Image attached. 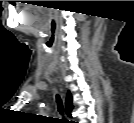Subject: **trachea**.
<instances>
[{
	"label": "trachea",
	"instance_id": "obj_1",
	"mask_svg": "<svg viewBox=\"0 0 134 123\" xmlns=\"http://www.w3.org/2000/svg\"><path fill=\"white\" fill-rule=\"evenodd\" d=\"M56 101H57L58 111L60 112V114H63L62 101H61V99H60V97L58 95L56 96Z\"/></svg>",
	"mask_w": 134,
	"mask_h": 123
}]
</instances>
